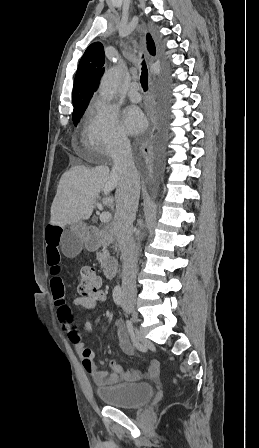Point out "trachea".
Returning a JSON list of instances; mask_svg holds the SVG:
<instances>
[{
    "instance_id": "obj_1",
    "label": "trachea",
    "mask_w": 259,
    "mask_h": 448,
    "mask_svg": "<svg viewBox=\"0 0 259 448\" xmlns=\"http://www.w3.org/2000/svg\"><path fill=\"white\" fill-rule=\"evenodd\" d=\"M140 82H141L144 92H147V90H148V69H147V66L144 61L142 62V72H141V76H140Z\"/></svg>"
}]
</instances>
